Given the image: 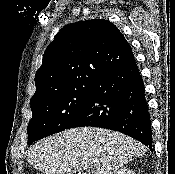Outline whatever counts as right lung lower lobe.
<instances>
[{
    "label": "right lung lower lobe",
    "instance_id": "obj_1",
    "mask_svg": "<svg viewBox=\"0 0 175 174\" xmlns=\"http://www.w3.org/2000/svg\"><path fill=\"white\" fill-rule=\"evenodd\" d=\"M96 126L116 130L152 150V130L144 83L134 58L108 71L93 87L67 129Z\"/></svg>",
    "mask_w": 175,
    "mask_h": 174
}]
</instances>
